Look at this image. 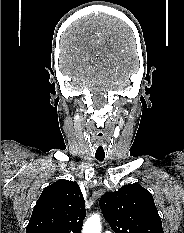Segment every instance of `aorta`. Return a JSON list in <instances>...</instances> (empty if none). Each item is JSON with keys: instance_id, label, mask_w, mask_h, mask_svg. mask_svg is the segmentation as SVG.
<instances>
[{"instance_id": "1", "label": "aorta", "mask_w": 184, "mask_h": 233, "mask_svg": "<svg viewBox=\"0 0 184 233\" xmlns=\"http://www.w3.org/2000/svg\"><path fill=\"white\" fill-rule=\"evenodd\" d=\"M82 233H101V220L98 214H93L86 220Z\"/></svg>"}]
</instances>
